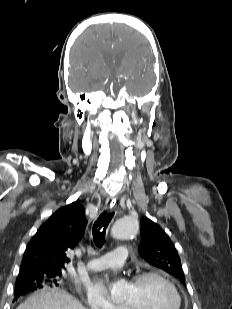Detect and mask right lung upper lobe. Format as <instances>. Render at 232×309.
I'll return each instance as SVG.
<instances>
[{"mask_svg":"<svg viewBox=\"0 0 232 309\" xmlns=\"http://www.w3.org/2000/svg\"><path fill=\"white\" fill-rule=\"evenodd\" d=\"M86 223L84 208L78 202L57 210L28 243L20 270H63L70 261L66 252L80 241Z\"/></svg>","mask_w":232,"mask_h":309,"instance_id":"cb5924a9","label":"right lung upper lobe"}]
</instances>
